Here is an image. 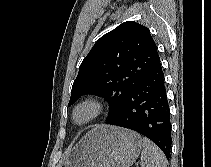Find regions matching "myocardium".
Listing matches in <instances>:
<instances>
[{
	"instance_id": "obj_1",
	"label": "myocardium",
	"mask_w": 211,
	"mask_h": 167,
	"mask_svg": "<svg viewBox=\"0 0 211 167\" xmlns=\"http://www.w3.org/2000/svg\"><path fill=\"white\" fill-rule=\"evenodd\" d=\"M81 110L88 111V115L83 120H79L77 118V114ZM103 110H104L103 102L98 97H95V96L86 97L82 99L81 101H79L73 108L72 120L77 125H80V126L86 125L92 122L93 120H95L96 118H98L103 113Z\"/></svg>"
}]
</instances>
